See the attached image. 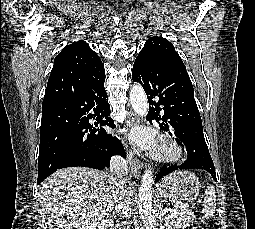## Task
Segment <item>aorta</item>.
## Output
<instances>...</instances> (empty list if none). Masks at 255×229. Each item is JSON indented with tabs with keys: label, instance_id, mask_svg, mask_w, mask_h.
Masks as SVG:
<instances>
[{
	"label": "aorta",
	"instance_id": "aorta-1",
	"mask_svg": "<svg viewBox=\"0 0 255 229\" xmlns=\"http://www.w3.org/2000/svg\"><path fill=\"white\" fill-rule=\"evenodd\" d=\"M130 102L135 113L146 116L148 113V101L144 89L135 83L130 90ZM154 183L153 171L145 170L138 193V211L144 223L145 229H158L157 222L152 212V186Z\"/></svg>",
	"mask_w": 255,
	"mask_h": 229
}]
</instances>
